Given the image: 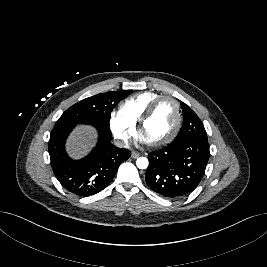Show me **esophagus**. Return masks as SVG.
<instances>
[{
	"instance_id": "34e87169",
	"label": "esophagus",
	"mask_w": 267,
	"mask_h": 267,
	"mask_svg": "<svg viewBox=\"0 0 267 267\" xmlns=\"http://www.w3.org/2000/svg\"><path fill=\"white\" fill-rule=\"evenodd\" d=\"M140 156V153L139 152H137V151H132V153H131V157L133 158V159H136V158H138Z\"/></svg>"
}]
</instances>
